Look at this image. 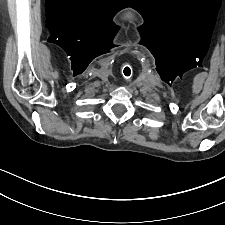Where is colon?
<instances>
[{
    "label": "colon",
    "mask_w": 225,
    "mask_h": 225,
    "mask_svg": "<svg viewBox=\"0 0 225 225\" xmlns=\"http://www.w3.org/2000/svg\"><path fill=\"white\" fill-rule=\"evenodd\" d=\"M124 69H125V72H126V76L127 77L130 76L131 75V68H130V66L126 65Z\"/></svg>",
    "instance_id": "obj_1"
}]
</instances>
